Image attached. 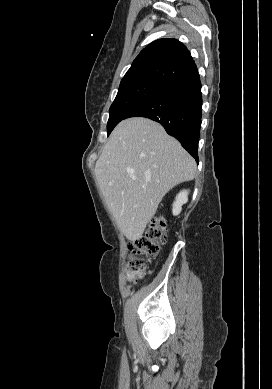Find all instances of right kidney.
Returning a JSON list of instances; mask_svg holds the SVG:
<instances>
[{
	"label": "right kidney",
	"instance_id": "1",
	"mask_svg": "<svg viewBox=\"0 0 272 389\" xmlns=\"http://www.w3.org/2000/svg\"><path fill=\"white\" fill-rule=\"evenodd\" d=\"M188 193L189 191L183 190L176 196V199L173 203V209H172V213L174 216L179 215L182 210V205L187 203Z\"/></svg>",
	"mask_w": 272,
	"mask_h": 389
}]
</instances>
